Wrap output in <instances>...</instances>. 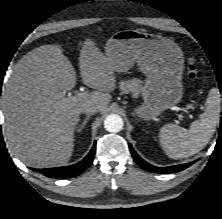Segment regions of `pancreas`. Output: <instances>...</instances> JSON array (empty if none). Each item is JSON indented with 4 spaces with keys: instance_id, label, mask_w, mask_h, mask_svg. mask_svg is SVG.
<instances>
[{
    "instance_id": "obj_1",
    "label": "pancreas",
    "mask_w": 222,
    "mask_h": 219,
    "mask_svg": "<svg viewBox=\"0 0 222 219\" xmlns=\"http://www.w3.org/2000/svg\"><path fill=\"white\" fill-rule=\"evenodd\" d=\"M141 83H142V81L140 79L133 78V79L126 80V81H121L119 87L123 93H127L129 91H132V92H134V94L137 95L139 90L142 89Z\"/></svg>"
}]
</instances>
